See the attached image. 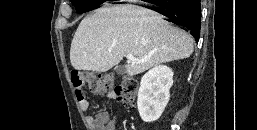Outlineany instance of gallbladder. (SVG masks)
I'll list each match as a JSON object with an SVG mask.
<instances>
[{"mask_svg": "<svg viewBox=\"0 0 257 130\" xmlns=\"http://www.w3.org/2000/svg\"><path fill=\"white\" fill-rule=\"evenodd\" d=\"M115 71L117 72V74L123 75L126 70L123 66H118V67L115 68Z\"/></svg>", "mask_w": 257, "mask_h": 130, "instance_id": "1", "label": "gallbladder"}]
</instances>
